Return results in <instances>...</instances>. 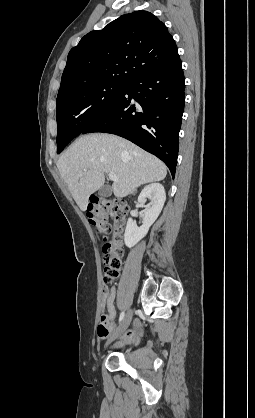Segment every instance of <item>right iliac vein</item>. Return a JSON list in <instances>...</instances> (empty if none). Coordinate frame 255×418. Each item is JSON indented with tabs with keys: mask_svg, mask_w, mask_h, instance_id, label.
I'll return each mask as SVG.
<instances>
[{
	"mask_svg": "<svg viewBox=\"0 0 255 418\" xmlns=\"http://www.w3.org/2000/svg\"><path fill=\"white\" fill-rule=\"evenodd\" d=\"M132 319V310H129L126 314V316L124 317V319L122 320L121 324L119 325V327L117 328V330L115 331V333L110 337V339L107 341L106 346L109 345L119 334H121L122 332H124Z\"/></svg>",
	"mask_w": 255,
	"mask_h": 418,
	"instance_id": "1",
	"label": "right iliac vein"
}]
</instances>
